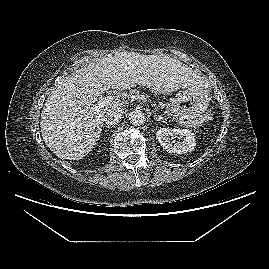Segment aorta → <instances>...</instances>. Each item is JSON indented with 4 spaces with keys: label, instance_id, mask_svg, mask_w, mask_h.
<instances>
[{
    "label": "aorta",
    "instance_id": "aorta-1",
    "mask_svg": "<svg viewBox=\"0 0 269 269\" xmlns=\"http://www.w3.org/2000/svg\"><path fill=\"white\" fill-rule=\"evenodd\" d=\"M129 122L134 126L143 125L145 122V116L141 111L134 110L128 115Z\"/></svg>",
    "mask_w": 269,
    "mask_h": 269
}]
</instances>
